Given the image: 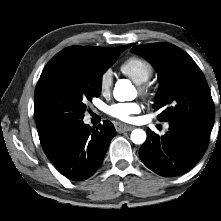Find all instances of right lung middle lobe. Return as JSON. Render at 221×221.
Instances as JSON below:
<instances>
[{
  "mask_svg": "<svg viewBox=\"0 0 221 221\" xmlns=\"http://www.w3.org/2000/svg\"><path fill=\"white\" fill-rule=\"evenodd\" d=\"M117 59L68 60L44 68L34 94L40 141H50L84 118L87 102L100 96L103 73Z\"/></svg>",
  "mask_w": 221,
  "mask_h": 221,
  "instance_id": "1",
  "label": "right lung middle lobe"
}]
</instances>
